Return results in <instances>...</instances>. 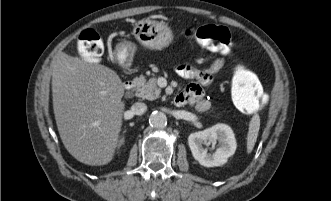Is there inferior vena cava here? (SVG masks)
I'll list each match as a JSON object with an SVG mask.
<instances>
[{
	"label": "inferior vena cava",
	"instance_id": "obj_1",
	"mask_svg": "<svg viewBox=\"0 0 331 201\" xmlns=\"http://www.w3.org/2000/svg\"><path fill=\"white\" fill-rule=\"evenodd\" d=\"M147 110V105L145 103H142V102H136L132 105V108H131V112L134 114V115H143Z\"/></svg>",
	"mask_w": 331,
	"mask_h": 201
}]
</instances>
